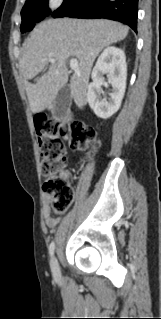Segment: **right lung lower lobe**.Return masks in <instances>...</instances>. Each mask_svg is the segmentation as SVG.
I'll list each match as a JSON object with an SVG mask.
<instances>
[{
    "mask_svg": "<svg viewBox=\"0 0 161 319\" xmlns=\"http://www.w3.org/2000/svg\"><path fill=\"white\" fill-rule=\"evenodd\" d=\"M138 0H81L63 17L111 19L137 30Z\"/></svg>",
    "mask_w": 161,
    "mask_h": 319,
    "instance_id": "obj_1",
    "label": "right lung lower lobe"
}]
</instances>
